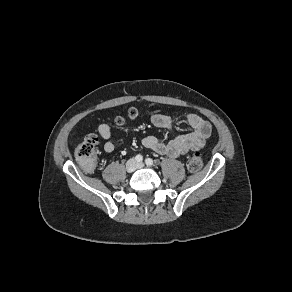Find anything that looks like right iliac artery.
Returning <instances> with one entry per match:
<instances>
[{"mask_svg": "<svg viewBox=\"0 0 292 292\" xmlns=\"http://www.w3.org/2000/svg\"><path fill=\"white\" fill-rule=\"evenodd\" d=\"M135 160H136L137 162H142V160H143L142 155H140V154L136 155Z\"/></svg>", "mask_w": 292, "mask_h": 292, "instance_id": "right-iliac-artery-1", "label": "right iliac artery"}]
</instances>
